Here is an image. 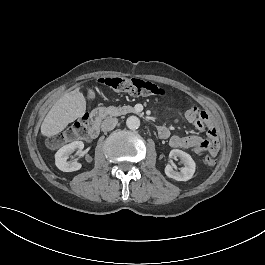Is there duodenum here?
<instances>
[{
    "label": "duodenum",
    "mask_w": 265,
    "mask_h": 265,
    "mask_svg": "<svg viewBox=\"0 0 265 265\" xmlns=\"http://www.w3.org/2000/svg\"><path fill=\"white\" fill-rule=\"evenodd\" d=\"M105 114V109L102 107H97L90 112L91 118V128L97 130L100 128V119Z\"/></svg>",
    "instance_id": "410a0bca"
}]
</instances>
